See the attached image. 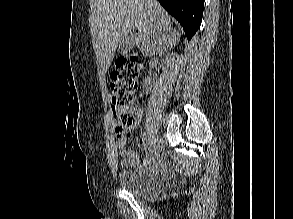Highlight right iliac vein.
Instances as JSON below:
<instances>
[{"label": "right iliac vein", "instance_id": "obj_1", "mask_svg": "<svg viewBox=\"0 0 293 219\" xmlns=\"http://www.w3.org/2000/svg\"><path fill=\"white\" fill-rule=\"evenodd\" d=\"M156 143V136L152 135L149 139H148V145L149 146H153Z\"/></svg>", "mask_w": 293, "mask_h": 219}]
</instances>
